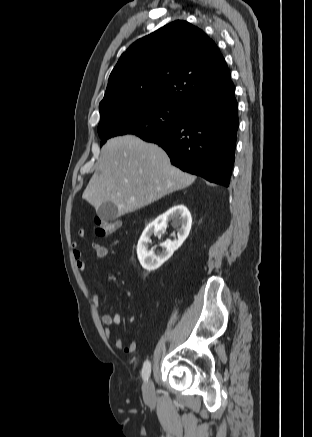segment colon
<instances>
[{"instance_id":"1","label":"colon","mask_w":312,"mask_h":437,"mask_svg":"<svg viewBox=\"0 0 312 437\" xmlns=\"http://www.w3.org/2000/svg\"><path fill=\"white\" fill-rule=\"evenodd\" d=\"M96 233L99 236H107L116 232L120 227L119 220H106L100 217L95 218Z\"/></svg>"}]
</instances>
